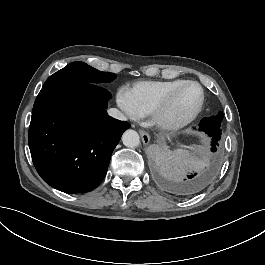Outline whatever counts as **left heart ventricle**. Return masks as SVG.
I'll return each mask as SVG.
<instances>
[{"instance_id": "b2bd125f", "label": "left heart ventricle", "mask_w": 265, "mask_h": 265, "mask_svg": "<svg viewBox=\"0 0 265 265\" xmlns=\"http://www.w3.org/2000/svg\"><path fill=\"white\" fill-rule=\"evenodd\" d=\"M201 91L198 85L188 84L180 93L175 105L168 114V118L176 120L190 111H192L199 103Z\"/></svg>"}]
</instances>
